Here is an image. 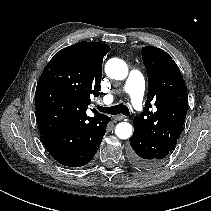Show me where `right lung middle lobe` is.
<instances>
[{
  "mask_svg": "<svg viewBox=\"0 0 211 211\" xmlns=\"http://www.w3.org/2000/svg\"><path fill=\"white\" fill-rule=\"evenodd\" d=\"M39 82L62 89L80 99V93L73 81L64 76L63 69L58 63H51L46 66L42 75L39 77Z\"/></svg>",
  "mask_w": 211,
  "mask_h": 211,
  "instance_id": "obj_1",
  "label": "right lung middle lobe"
}]
</instances>
